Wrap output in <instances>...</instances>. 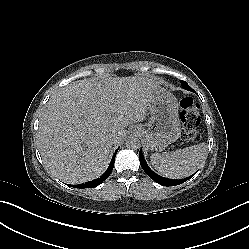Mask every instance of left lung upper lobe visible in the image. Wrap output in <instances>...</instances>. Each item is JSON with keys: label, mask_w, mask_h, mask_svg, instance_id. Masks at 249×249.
<instances>
[{"label": "left lung upper lobe", "mask_w": 249, "mask_h": 249, "mask_svg": "<svg viewBox=\"0 0 249 249\" xmlns=\"http://www.w3.org/2000/svg\"><path fill=\"white\" fill-rule=\"evenodd\" d=\"M180 82H181L182 86H183L186 90L192 91V88L187 84V82H185V81H180Z\"/></svg>", "instance_id": "5c2ea615"}]
</instances>
